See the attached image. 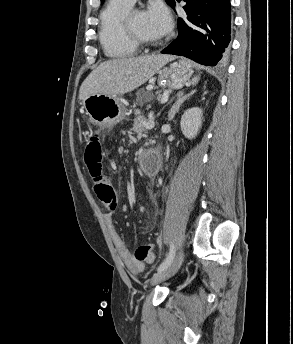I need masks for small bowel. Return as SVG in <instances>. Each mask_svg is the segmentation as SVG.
<instances>
[{"mask_svg":"<svg viewBox=\"0 0 293 344\" xmlns=\"http://www.w3.org/2000/svg\"><path fill=\"white\" fill-rule=\"evenodd\" d=\"M113 216L114 212H110L106 214V222L109 226L111 236L116 247V250L123 261V263L134 273L139 274L143 270V264L137 261L129 251L124 239L122 236L116 231L113 225Z\"/></svg>","mask_w":293,"mask_h":344,"instance_id":"1","label":"small bowel"}]
</instances>
